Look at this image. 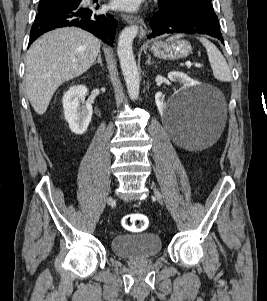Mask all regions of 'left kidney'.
I'll list each match as a JSON object with an SVG mask.
<instances>
[{"instance_id":"obj_1","label":"left kidney","mask_w":267,"mask_h":301,"mask_svg":"<svg viewBox=\"0 0 267 301\" xmlns=\"http://www.w3.org/2000/svg\"><path fill=\"white\" fill-rule=\"evenodd\" d=\"M168 78L171 81L182 83L183 88H189V87H192V86L198 84L197 82H195L191 78H189L186 74L178 72V71H172V72L168 73ZM155 101L159 108H163L166 105L159 94H157L155 96Z\"/></svg>"}]
</instances>
